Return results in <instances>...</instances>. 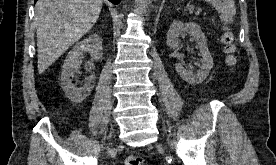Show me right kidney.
Returning <instances> with one entry per match:
<instances>
[{"mask_svg":"<svg viewBox=\"0 0 276 165\" xmlns=\"http://www.w3.org/2000/svg\"><path fill=\"white\" fill-rule=\"evenodd\" d=\"M84 52H90L94 60H100L102 57L101 38L98 35H92L78 42L66 57L61 74V86L66 96L76 104L84 101L94 87V77L85 79L82 87H77L72 83V78L80 69Z\"/></svg>","mask_w":276,"mask_h":165,"instance_id":"obj_1","label":"right kidney"}]
</instances>
